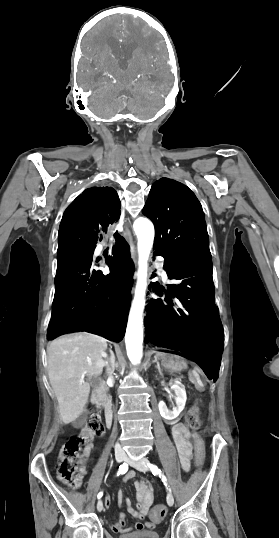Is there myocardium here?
<instances>
[{
  "label": "myocardium",
  "instance_id": "obj_1",
  "mask_svg": "<svg viewBox=\"0 0 279 538\" xmlns=\"http://www.w3.org/2000/svg\"><path fill=\"white\" fill-rule=\"evenodd\" d=\"M103 237L102 236H99V241H102Z\"/></svg>",
  "mask_w": 279,
  "mask_h": 538
}]
</instances>
